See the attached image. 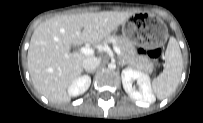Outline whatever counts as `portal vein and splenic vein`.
Instances as JSON below:
<instances>
[{
	"mask_svg": "<svg viewBox=\"0 0 203 123\" xmlns=\"http://www.w3.org/2000/svg\"><path fill=\"white\" fill-rule=\"evenodd\" d=\"M113 50L115 51V53H117L118 55L121 54V50L120 48H118L117 46H113ZM81 53L84 55H93L94 54V50L89 47V46H85L81 48Z\"/></svg>",
	"mask_w": 203,
	"mask_h": 123,
	"instance_id": "18ae733b",
	"label": "portal vein and splenic vein"
}]
</instances>
